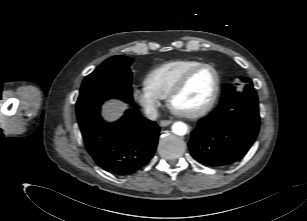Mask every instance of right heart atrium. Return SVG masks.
Masks as SVG:
<instances>
[{"label": "right heart atrium", "mask_w": 307, "mask_h": 221, "mask_svg": "<svg viewBox=\"0 0 307 221\" xmlns=\"http://www.w3.org/2000/svg\"><path fill=\"white\" fill-rule=\"evenodd\" d=\"M132 96L147 116L155 117L157 115L160 106V98L149 92L145 86L134 88Z\"/></svg>", "instance_id": "obj_1"}]
</instances>
